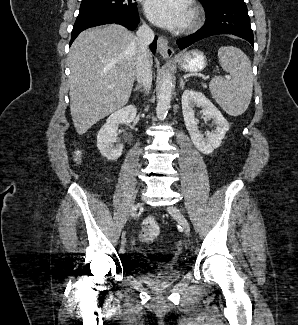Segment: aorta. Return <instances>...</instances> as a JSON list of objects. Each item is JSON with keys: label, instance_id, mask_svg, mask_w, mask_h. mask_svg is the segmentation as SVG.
<instances>
[{"label": "aorta", "instance_id": "aorta-1", "mask_svg": "<svg viewBox=\"0 0 298 325\" xmlns=\"http://www.w3.org/2000/svg\"><path fill=\"white\" fill-rule=\"evenodd\" d=\"M173 76L169 70H165L161 78V86L158 94L156 114L158 120L165 118L168 108L171 106L172 94H173Z\"/></svg>", "mask_w": 298, "mask_h": 325}]
</instances>
